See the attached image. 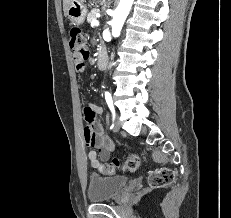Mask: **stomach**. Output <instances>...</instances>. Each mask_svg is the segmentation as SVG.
<instances>
[{"instance_id": "stomach-1", "label": "stomach", "mask_w": 231, "mask_h": 218, "mask_svg": "<svg viewBox=\"0 0 231 218\" xmlns=\"http://www.w3.org/2000/svg\"><path fill=\"white\" fill-rule=\"evenodd\" d=\"M87 12L88 10L84 4V0H72L67 10V16L70 21L80 25L85 21Z\"/></svg>"}]
</instances>
